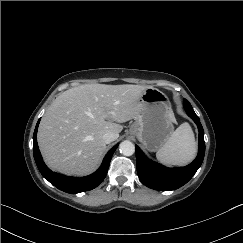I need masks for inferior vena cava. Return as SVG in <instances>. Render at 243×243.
Here are the masks:
<instances>
[{
	"label": "inferior vena cava",
	"instance_id": "inferior-vena-cava-1",
	"mask_svg": "<svg viewBox=\"0 0 243 243\" xmlns=\"http://www.w3.org/2000/svg\"><path fill=\"white\" fill-rule=\"evenodd\" d=\"M102 138L106 144H109L116 140V135L113 132H106L105 134H103Z\"/></svg>",
	"mask_w": 243,
	"mask_h": 243
}]
</instances>
